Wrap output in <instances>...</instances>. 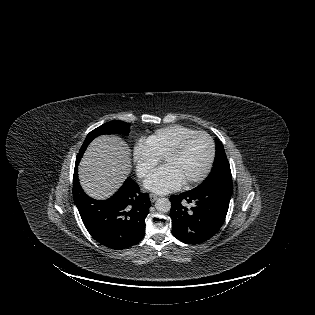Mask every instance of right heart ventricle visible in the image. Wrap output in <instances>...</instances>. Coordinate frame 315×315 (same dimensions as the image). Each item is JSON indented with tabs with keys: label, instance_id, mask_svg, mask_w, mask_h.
Instances as JSON below:
<instances>
[{
	"label": "right heart ventricle",
	"instance_id": "right-heart-ventricle-1",
	"mask_svg": "<svg viewBox=\"0 0 315 315\" xmlns=\"http://www.w3.org/2000/svg\"><path fill=\"white\" fill-rule=\"evenodd\" d=\"M193 132L195 130L190 127L174 124L156 130L145 141L158 158H163L176 143Z\"/></svg>",
	"mask_w": 315,
	"mask_h": 315
}]
</instances>
